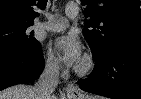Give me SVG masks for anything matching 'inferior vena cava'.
I'll list each match as a JSON object with an SVG mask.
<instances>
[{
  "mask_svg": "<svg viewBox=\"0 0 141 99\" xmlns=\"http://www.w3.org/2000/svg\"><path fill=\"white\" fill-rule=\"evenodd\" d=\"M59 82V66L54 63L45 65L42 74L36 82L34 89L40 99H51Z\"/></svg>",
  "mask_w": 141,
  "mask_h": 99,
  "instance_id": "obj_1",
  "label": "inferior vena cava"
}]
</instances>
